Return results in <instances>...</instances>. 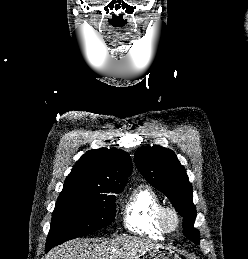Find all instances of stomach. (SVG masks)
<instances>
[{"instance_id": "stomach-1", "label": "stomach", "mask_w": 248, "mask_h": 259, "mask_svg": "<svg viewBox=\"0 0 248 259\" xmlns=\"http://www.w3.org/2000/svg\"><path fill=\"white\" fill-rule=\"evenodd\" d=\"M138 259H181V257L169 248L155 246L140 255Z\"/></svg>"}]
</instances>
